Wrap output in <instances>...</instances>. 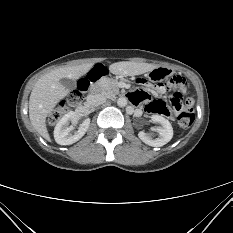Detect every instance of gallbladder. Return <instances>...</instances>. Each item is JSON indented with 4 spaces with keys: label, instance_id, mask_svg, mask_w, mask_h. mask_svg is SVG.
Listing matches in <instances>:
<instances>
[{
    "label": "gallbladder",
    "instance_id": "1",
    "mask_svg": "<svg viewBox=\"0 0 233 233\" xmlns=\"http://www.w3.org/2000/svg\"><path fill=\"white\" fill-rule=\"evenodd\" d=\"M60 83L69 91L74 90L76 88V81L69 78H62Z\"/></svg>",
    "mask_w": 233,
    "mask_h": 233
}]
</instances>
